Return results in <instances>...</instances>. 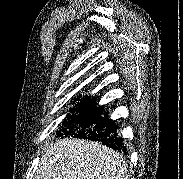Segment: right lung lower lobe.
I'll use <instances>...</instances> for the list:
<instances>
[{
    "label": "right lung lower lobe",
    "instance_id": "obj_1",
    "mask_svg": "<svg viewBox=\"0 0 183 179\" xmlns=\"http://www.w3.org/2000/svg\"><path fill=\"white\" fill-rule=\"evenodd\" d=\"M117 129L118 125L109 119L107 113H105L96 124L83 131L81 135L75 136V138L96 141L115 150L127 152L122 138L118 137Z\"/></svg>",
    "mask_w": 183,
    "mask_h": 179
}]
</instances>
